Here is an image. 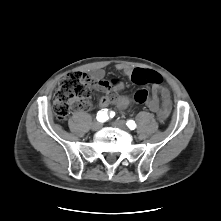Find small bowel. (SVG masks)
<instances>
[{
  "mask_svg": "<svg viewBox=\"0 0 221 221\" xmlns=\"http://www.w3.org/2000/svg\"><path fill=\"white\" fill-rule=\"evenodd\" d=\"M117 69L128 76H132V73L135 70L129 66H125L122 64H119L117 66ZM141 70L147 71L145 69ZM104 76L105 73L102 69H95L91 72V74L88 77L89 81L95 88L109 92L107 95H104L99 98V106L107 107L110 104H115L121 110L126 109L131 103L130 98L125 95L113 92L115 90H121L123 88V83L120 80L116 79L105 80ZM135 83H137L138 85H146L149 82L146 79H143ZM146 105L149 108V110L156 114L158 120H165L169 116L172 106L169 90L166 87L153 84V94L151 98L146 101Z\"/></svg>",
  "mask_w": 221,
  "mask_h": 221,
  "instance_id": "c3829d8e",
  "label": "small bowel"
}]
</instances>
